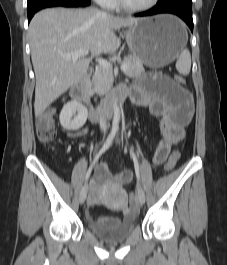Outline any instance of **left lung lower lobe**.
<instances>
[{
  "label": "left lung lower lobe",
  "instance_id": "left-lung-lower-lobe-1",
  "mask_svg": "<svg viewBox=\"0 0 227 265\" xmlns=\"http://www.w3.org/2000/svg\"><path fill=\"white\" fill-rule=\"evenodd\" d=\"M170 13L179 16L193 31L192 4L167 3L156 5L152 9L136 14V16H151L155 14Z\"/></svg>",
  "mask_w": 227,
  "mask_h": 265
}]
</instances>
